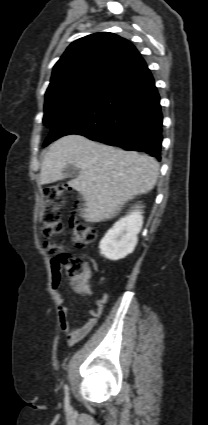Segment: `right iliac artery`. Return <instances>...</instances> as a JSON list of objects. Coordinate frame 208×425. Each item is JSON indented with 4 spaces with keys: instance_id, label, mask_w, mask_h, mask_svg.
I'll return each instance as SVG.
<instances>
[{
    "instance_id": "1",
    "label": "right iliac artery",
    "mask_w": 208,
    "mask_h": 425,
    "mask_svg": "<svg viewBox=\"0 0 208 425\" xmlns=\"http://www.w3.org/2000/svg\"><path fill=\"white\" fill-rule=\"evenodd\" d=\"M65 395H66V402H68L69 399V388L67 385L64 386Z\"/></svg>"
}]
</instances>
